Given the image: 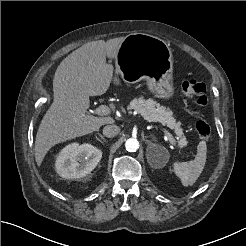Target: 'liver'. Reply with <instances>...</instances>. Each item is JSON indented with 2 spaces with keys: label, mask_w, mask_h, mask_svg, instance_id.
<instances>
[{
  "label": "liver",
  "mask_w": 246,
  "mask_h": 246,
  "mask_svg": "<svg viewBox=\"0 0 246 246\" xmlns=\"http://www.w3.org/2000/svg\"><path fill=\"white\" fill-rule=\"evenodd\" d=\"M124 38L88 42L59 64L53 79L54 101L44 115L35 139L34 152L38 166L54 145L114 123L110 116L90 114L89 98L108 90L113 80V66L106 63V57H116Z\"/></svg>",
  "instance_id": "1"
}]
</instances>
